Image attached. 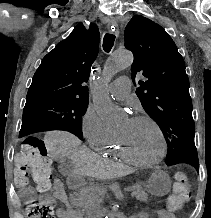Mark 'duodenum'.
Segmentation results:
<instances>
[{
	"mask_svg": "<svg viewBox=\"0 0 211 218\" xmlns=\"http://www.w3.org/2000/svg\"><path fill=\"white\" fill-rule=\"evenodd\" d=\"M81 183H82V177L76 173L71 174L67 179V184L70 188H77L81 185ZM110 214L111 212L107 209H98L96 210L94 216L97 218H103ZM115 216L117 218H137L135 214H127L121 211L115 213Z\"/></svg>",
	"mask_w": 211,
	"mask_h": 218,
	"instance_id": "410a0bca",
	"label": "duodenum"
}]
</instances>
